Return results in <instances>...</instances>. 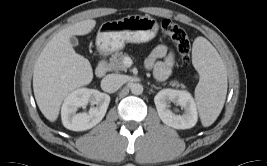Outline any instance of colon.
Wrapping results in <instances>:
<instances>
[{
	"label": "colon",
	"mask_w": 267,
	"mask_h": 166,
	"mask_svg": "<svg viewBox=\"0 0 267 166\" xmlns=\"http://www.w3.org/2000/svg\"><path fill=\"white\" fill-rule=\"evenodd\" d=\"M160 27L162 34L175 42L178 53L183 62L187 64L190 60L191 43L186 31L170 19H163Z\"/></svg>",
	"instance_id": "obj_1"
}]
</instances>
